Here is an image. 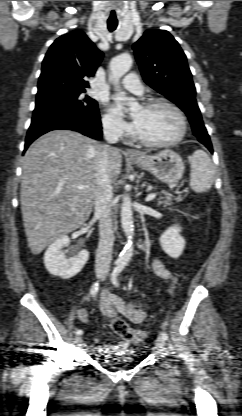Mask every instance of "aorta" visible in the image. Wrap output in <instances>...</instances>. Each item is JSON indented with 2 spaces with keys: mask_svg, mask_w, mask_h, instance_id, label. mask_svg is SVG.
Instances as JSON below:
<instances>
[{
  "mask_svg": "<svg viewBox=\"0 0 242 416\" xmlns=\"http://www.w3.org/2000/svg\"><path fill=\"white\" fill-rule=\"evenodd\" d=\"M131 66L132 58L127 53L121 54L111 60V80L115 85H117L120 78L130 70ZM116 98L122 102H126L129 106H132L133 104V102L129 101V98L125 95V93L120 90L116 93ZM121 226L126 237L128 238V241L115 263L117 266H126L130 261L134 250L132 242V236L134 233L133 213L131 200L127 194L123 195V202L121 205Z\"/></svg>",
  "mask_w": 242,
  "mask_h": 416,
  "instance_id": "obj_1",
  "label": "aorta"
}]
</instances>
